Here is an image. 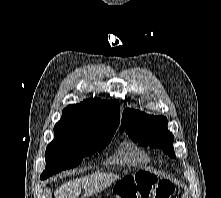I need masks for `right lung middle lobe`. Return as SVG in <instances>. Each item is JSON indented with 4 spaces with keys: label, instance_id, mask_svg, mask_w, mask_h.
<instances>
[{
    "label": "right lung middle lobe",
    "instance_id": "1",
    "mask_svg": "<svg viewBox=\"0 0 221 198\" xmlns=\"http://www.w3.org/2000/svg\"><path fill=\"white\" fill-rule=\"evenodd\" d=\"M116 130L103 129L88 135H55L46 148V168L40 179L79 165L82 160L104 149Z\"/></svg>",
    "mask_w": 221,
    "mask_h": 198
}]
</instances>
